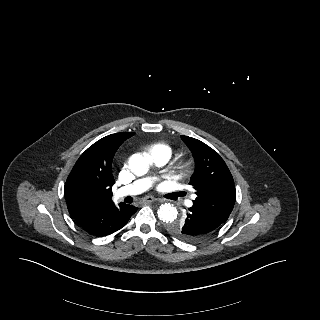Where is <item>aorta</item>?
Wrapping results in <instances>:
<instances>
[{
  "instance_id": "obj_1",
  "label": "aorta",
  "mask_w": 320,
  "mask_h": 320,
  "mask_svg": "<svg viewBox=\"0 0 320 320\" xmlns=\"http://www.w3.org/2000/svg\"><path fill=\"white\" fill-rule=\"evenodd\" d=\"M149 168V162L142 154L136 153L129 158V169L136 176L145 175ZM157 213L159 219L166 224L172 223L178 216L176 207L170 203L162 204Z\"/></svg>"
}]
</instances>
